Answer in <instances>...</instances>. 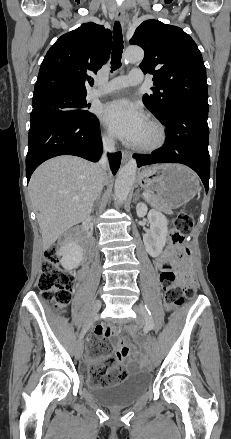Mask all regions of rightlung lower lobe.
<instances>
[{
    "instance_id": "1",
    "label": "right lung lower lobe",
    "mask_w": 231,
    "mask_h": 439,
    "mask_svg": "<svg viewBox=\"0 0 231 439\" xmlns=\"http://www.w3.org/2000/svg\"><path fill=\"white\" fill-rule=\"evenodd\" d=\"M26 177L45 160L59 155H75L97 162L102 153V140L97 117L57 118L29 130ZM110 167L116 174L121 163V152L108 154Z\"/></svg>"
}]
</instances>
